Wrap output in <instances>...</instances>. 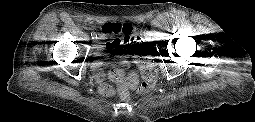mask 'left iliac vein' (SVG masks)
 Listing matches in <instances>:
<instances>
[{
    "mask_svg": "<svg viewBox=\"0 0 255 122\" xmlns=\"http://www.w3.org/2000/svg\"><path fill=\"white\" fill-rule=\"evenodd\" d=\"M145 41H146V42H149V41H150L148 36H145Z\"/></svg>",
    "mask_w": 255,
    "mask_h": 122,
    "instance_id": "4c4485c4",
    "label": "left iliac vein"
}]
</instances>
